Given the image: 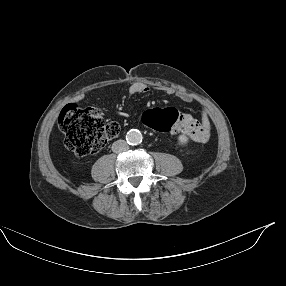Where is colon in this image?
<instances>
[{
    "label": "colon",
    "instance_id": "obj_1",
    "mask_svg": "<svg viewBox=\"0 0 286 286\" xmlns=\"http://www.w3.org/2000/svg\"><path fill=\"white\" fill-rule=\"evenodd\" d=\"M178 119L179 113L175 109L151 108L143 112L141 123L152 130L165 131ZM58 126L64 134L66 149L77 156L97 153L120 132L119 124L105 121L97 109L72 104L60 112Z\"/></svg>",
    "mask_w": 286,
    "mask_h": 286
}]
</instances>
